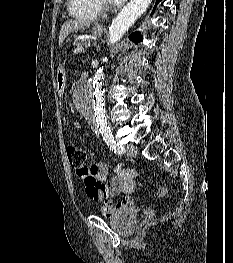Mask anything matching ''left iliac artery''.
Wrapping results in <instances>:
<instances>
[{
	"instance_id": "left-iliac-artery-1",
	"label": "left iliac artery",
	"mask_w": 233,
	"mask_h": 263,
	"mask_svg": "<svg viewBox=\"0 0 233 263\" xmlns=\"http://www.w3.org/2000/svg\"><path fill=\"white\" fill-rule=\"evenodd\" d=\"M104 141L107 143L108 147L116 154H122L125 152L124 148L115 141L112 132L109 130H104L101 132Z\"/></svg>"
}]
</instances>
